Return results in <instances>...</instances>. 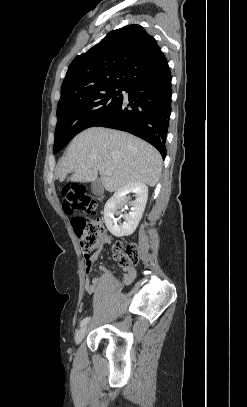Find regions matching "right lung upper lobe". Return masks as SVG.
Instances as JSON below:
<instances>
[{
  "label": "right lung upper lobe",
  "instance_id": "right-lung-upper-lobe-1",
  "mask_svg": "<svg viewBox=\"0 0 247 407\" xmlns=\"http://www.w3.org/2000/svg\"><path fill=\"white\" fill-rule=\"evenodd\" d=\"M166 61L156 40L142 26L113 30L71 62L57 107L109 87H126L136 76Z\"/></svg>",
  "mask_w": 247,
  "mask_h": 407
}]
</instances>
